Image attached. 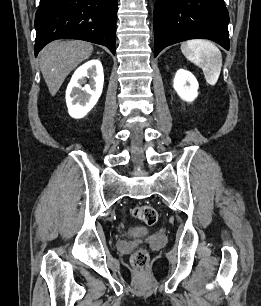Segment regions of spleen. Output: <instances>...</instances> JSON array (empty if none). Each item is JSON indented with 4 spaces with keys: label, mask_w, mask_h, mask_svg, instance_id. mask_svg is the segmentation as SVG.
<instances>
[{
    "label": "spleen",
    "mask_w": 261,
    "mask_h": 306,
    "mask_svg": "<svg viewBox=\"0 0 261 306\" xmlns=\"http://www.w3.org/2000/svg\"><path fill=\"white\" fill-rule=\"evenodd\" d=\"M181 51L189 61L203 70L208 84L217 83L222 68V54L214 43L193 39L182 43Z\"/></svg>",
    "instance_id": "spleen-1"
}]
</instances>
